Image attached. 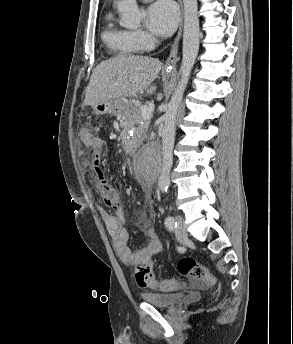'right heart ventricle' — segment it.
Masks as SVG:
<instances>
[{
    "mask_svg": "<svg viewBox=\"0 0 293 344\" xmlns=\"http://www.w3.org/2000/svg\"><path fill=\"white\" fill-rule=\"evenodd\" d=\"M102 40L117 55L134 56L140 53V49L132 39L131 31L118 26L111 12H108L105 16Z\"/></svg>",
    "mask_w": 293,
    "mask_h": 344,
    "instance_id": "e07e8e85",
    "label": "right heart ventricle"
}]
</instances>
